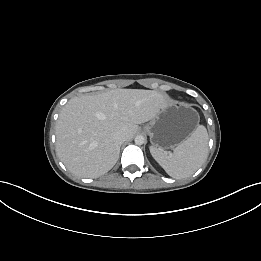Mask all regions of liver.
I'll return each instance as SVG.
<instances>
[{
	"instance_id": "obj_1",
	"label": "liver",
	"mask_w": 261,
	"mask_h": 261,
	"mask_svg": "<svg viewBox=\"0 0 261 261\" xmlns=\"http://www.w3.org/2000/svg\"><path fill=\"white\" fill-rule=\"evenodd\" d=\"M169 99L154 90L115 89L97 95L70 99L56 124V152L67 169L80 177L95 178L107 173L117 162L118 131L127 139L138 124L153 119Z\"/></svg>"
}]
</instances>
